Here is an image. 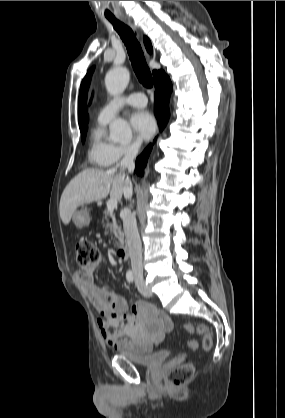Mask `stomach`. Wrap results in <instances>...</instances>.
I'll list each match as a JSON object with an SVG mask.
<instances>
[{"label":"stomach","instance_id":"0dacf381","mask_svg":"<svg viewBox=\"0 0 285 418\" xmlns=\"http://www.w3.org/2000/svg\"><path fill=\"white\" fill-rule=\"evenodd\" d=\"M73 222L77 227H84L89 225L90 223V216L87 209H83L80 211H76L73 214Z\"/></svg>","mask_w":285,"mask_h":418}]
</instances>
